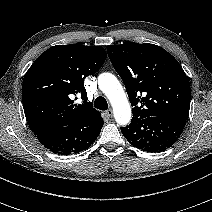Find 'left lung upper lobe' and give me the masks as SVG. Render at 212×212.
<instances>
[{"label": "left lung upper lobe", "instance_id": "obj_1", "mask_svg": "<svg viewBox=\"0 0 212 212\" xmlns=\"http://www.w3.org/2000/svg\"><path fill=\"white\" fill-rule=\"evenodd\" d=\"M107 52L125 84L133 118L166 116L187 120L190 84L171 54L157 45L135 42L109 45Z\"/></svg>", "mask_w": 212, "mask_h": 212}]
</instances>
